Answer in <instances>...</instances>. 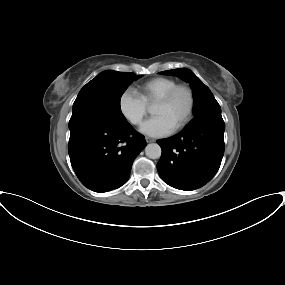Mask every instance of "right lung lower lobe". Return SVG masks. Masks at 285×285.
<instances>
[{
    "label": "right lung lower lobe",
    "mask_w": 285,
    "mask_h": 285,
    "mask_svg": "<svg viewBox=\"0 0 285 285\" xmlns=\"http://www.w3.org/2000/svg\"><path fill=\"white\" fill-rule=\"evenodd\" d=\"M145 146L144 136L128 122L113 125L92 119L70 128L68 152L81 183L105 192L128 180L133 161Z\"/></svg>",
    "instance_id": "obj_1"
}]
</instances>
